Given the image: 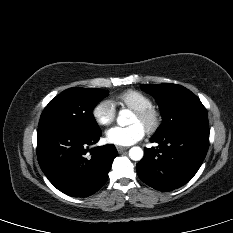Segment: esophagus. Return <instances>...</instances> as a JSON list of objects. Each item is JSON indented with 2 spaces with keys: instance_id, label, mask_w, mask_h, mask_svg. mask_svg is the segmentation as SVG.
Returning <instances> with one entry per match:
<instances>
[{
  "instance_id": "esophagus-1",
  "label": "esophagus",
  "mask_w": 233,
  "mask_h": 233,
  "mask_svg": "<svg viewBox=\"0 0 233 233\" xmlns=\"http://www.w3.org/2000/svg\"><path fill=\"white\" fill-rule=\"evenodd\" d=\"M116 149H117L118 153H122V152L126 151L128 148L123 147V146H116Z\"/></svg>"
}]
</instances>
